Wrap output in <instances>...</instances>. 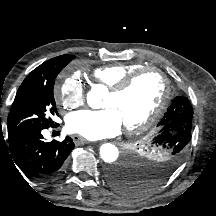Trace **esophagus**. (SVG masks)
Instances as JSON below:
<instances>
[{"label":"esophagus","instance_id":"obj_1","mask_svg":"<svg viewBox=\"0 0 216 216\" xmlns=\"http://www.w3.org/2000/svg\"><path fill=\"white\" fill-rule=\"evenodd\" d=\"M72 139H73L74 143L78 144V145H84L88 142L84 137H82L78 134L72 135Z\"/></svg>","mask_w":216,"mask_h":216}]
</instances>
